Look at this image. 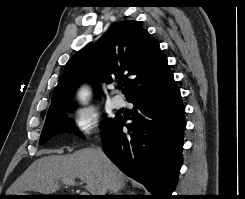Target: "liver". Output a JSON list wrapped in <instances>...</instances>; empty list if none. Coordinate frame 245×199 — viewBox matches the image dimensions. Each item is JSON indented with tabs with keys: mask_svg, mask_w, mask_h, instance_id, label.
I'll list each match as a JSON object with an SVG mask.
<instances>
[{
	"mask_svg": "<svg viewBox=\"0 0 245 199\" xmlns=\"http://www.w3.org/2000/svg\"><path fill=\"white\" fill-rule=\"evenodd\" d=\"M79 178L91 195H101L107 188L117 193L126 184V176L95 148H83L69 155H49L33 162L14 182L8 193L15 195L25 191L45 195L59 190V181ZM117 195V194H113Z\"/></svg>",
	"mask_w": 245,
	"mask_h": 199,
	"instance_id": "liver-1",
	"label": "liver"
}]
</instances>
